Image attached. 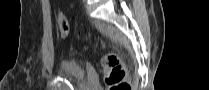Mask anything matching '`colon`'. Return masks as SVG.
<instances>
[{"instance_id":"colon-1","label":"colon","mask_w":209,"mask_h":90,"mask_svg":"<svg viewBox=\"0 0 209 90\" xmlns=\"http://www.w3.org/2000/svg\"><path fill=\"white\" fill-rule=\"evenodd\" d=\"M57 26L60 35L64 38L70 32L68 19L60 13L57 19ZM101 66L105 74V81L109 90H132L130 82L127 80V70L120 55L108 53L101 61Z\"/></svg>"}]
</instances>
